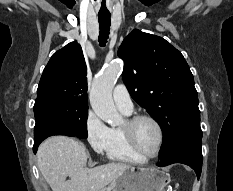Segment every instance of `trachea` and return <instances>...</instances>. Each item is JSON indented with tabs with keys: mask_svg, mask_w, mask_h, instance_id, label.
<instances>
[{
	"mask_svg": "<svg viewBox=\"0 0 233 191\" xmlns=\"http://www.w3.org/2000/svg\"><path fill=\"white\" fill-rule=\"evenodd\" d=\"M99 19V43L100 46H105L110 31V14H98Z\"/></svg>",
	"mask_w": 233,
	"mask_h": 191,
	"instance_id": "1",
	"label": "trachea"
}]
</instances>
